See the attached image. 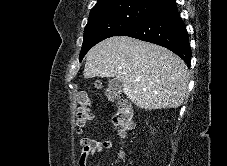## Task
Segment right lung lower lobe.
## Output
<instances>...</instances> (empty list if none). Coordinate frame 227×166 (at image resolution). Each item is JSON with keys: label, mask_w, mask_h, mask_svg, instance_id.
<instances>
[{"label": "right lung lower lobe", "mask_w": 227, "mask_h": 166, "mask_svg": "<svg viewBox=\"0 0 227 166\" xmlns=\"http://www.w3.org/2000/svg\"><path fill=\"white\" fill-rule=\"evenodd\" d=\"M118 35L163 46L181 57L190 67L191 49L188 34L176 8L175 0L165 1Z\"/></svg>", "instance_id": "right-lung-lower-lobe-1"}]
</instances>
